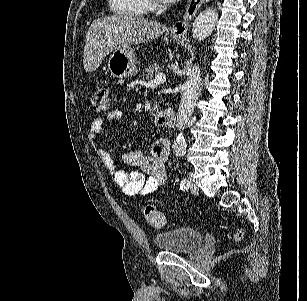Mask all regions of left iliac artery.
<instances>
[{"instance_id": "obj_1", "label": "left iliac artery", "mask_w": 307, "mask_h": 301, "mask_svg": "<svg viewBox=\"0 0 307 301\" xmlns=\"http://www.w3.org/2000/svg\"><path fill=\"white\" fill-rule=\"evenodd\" d=\"M188 185H189L188 179L184 178V179H182V181L180 183V189L185 190V189H187Z\"/></svg>"}]
</instances>
